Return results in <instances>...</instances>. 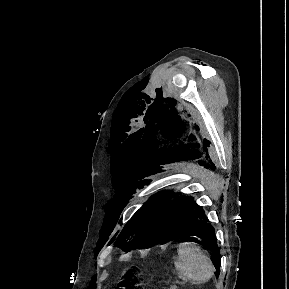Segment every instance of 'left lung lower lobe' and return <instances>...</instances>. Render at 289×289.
Here are the masks:
<instances>
[{"label": "left lung lower lobe", "mask_w": 289, "mask_h": 289, "mask_svg": "<svg viewBox=\"0 0 289 289\" xmlns=\"http://www.w3.org/2000/svg\"><path fill=\"white\" fill-rule=\"evenodd\" d=\"M168 218V237L185 238L208 248L216 257L215 268L219 273L220 258L214 228L208 223L202 207L185 196L172 199L163 211Z\"/></svg>", "instance_id": "0a47b994"}]
</instances>
